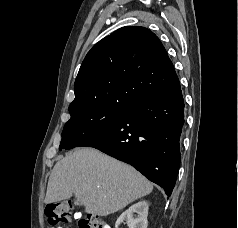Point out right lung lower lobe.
Segmentation results:
<instances>
[{"label":"right lung lower lobe","mask_w":238,"mask_h":228,"mask_svg":"<svg viewBox=\"0 0 238 228\" xmlns=\"http://www.w3.org/2000/svg\"><path fill=\"white\" fill-rule=\"evenodd\" d=\"M184 100L180 82L143 96L121 116L78 147H93L124 161L170 196L180 166Z\"/></svg>","instance_id":"right-lung-lower-lobe-1"}]
</instances>
